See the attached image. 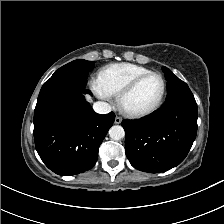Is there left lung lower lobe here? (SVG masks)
<instances>
[{
  "label": "left lung lower lobe",
  "instance_id": "left-lung-lower-lobe-1",
  "mask_svg": "<svg viewBox=\"0 0 224 224\" xmlns=\"http://www.w3.org/2000/svg\"><path fill=\"white\" fill-rule=\"evenodd\" d=\"M197 118V104L188 87L167 96L162 107L149 117L122 121L131 165L149 173L179 165L195 140Z\"/></svg>",
  "mask_w": 224,
  "mask_h": 224
}]
</instances>
